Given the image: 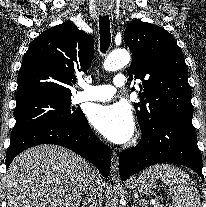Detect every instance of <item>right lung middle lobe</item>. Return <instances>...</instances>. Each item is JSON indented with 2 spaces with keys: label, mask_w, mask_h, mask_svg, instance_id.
<instances>
[{
  "label": "right lung middle lobe",
  "mask_w": 206,
  "mask_h": 207,
  "mask_svg": "<svg viewBox=\"0 0 206 207\" xmlns=\"http://www.w3.org/2000/svg\"><path fill=\"white\" fill-rule=\"evenodd\" d=\"M15 126L19 131L42 122H78L83 112L71 107V95L36 94L16 100Z\"/></svg>",
  "instance_id": "dd1d6c3e"
}]
</instances>
